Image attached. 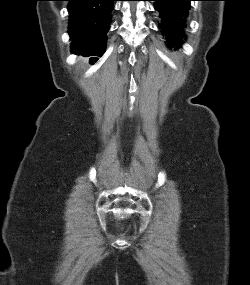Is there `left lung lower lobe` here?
Segmentation results:
<instances>
[{
    "instance_id": "1",
    "label": "left lung lower lobe",
    "mask_w": 250,
    "mask_h": 285,
    "mask_svg": "<svg viewBox=\"0 0 250 285\" xmlns=\"http://www.w3.org/2000/svg\"><path fill=\"white\" fill-rule=\"evenodd\" d=\"M155 1V9L159 11L161 23L159 24L167 37L170 46H178L187 26L190 1L194 0H152Z\"/></svg>"
}]
</instances>
